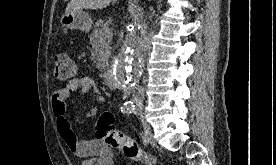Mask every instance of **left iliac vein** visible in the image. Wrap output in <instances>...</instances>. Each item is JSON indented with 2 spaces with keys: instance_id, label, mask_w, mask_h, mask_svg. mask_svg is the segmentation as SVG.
<instances>
[{
  "instance_id": "obj_1",
  "label": "left iliac vein",
  "mask_w": 276,
  "mask_h": 165,
  "mask_svg": "<svg viewBox=\"0 0 276 165\" xmlns=\"http://www.w3.org/2000/svg\"><path fill=\"white\" fill-rule=\"evenodd\" d=\"M134 113L136 115H142L143 114V108L141 105H138V107L136 108V110L134 111Z\"/></svg>"
}]
</instances>
